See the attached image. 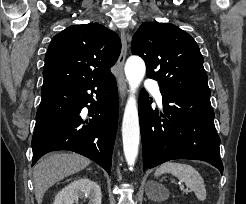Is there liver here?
Listing matches in <instances>:
<instances>
[{"mask_svg":"<svg viewBox=\"0 0 246 204\" xmlns=\"http://www.w3.org/2000/svg\"><path fill=\"white\" fill-rule=\"evenodd\" d=\"M91 161L76 153H54L34 167V191L38 204L42 203L45 192L64 177L79 172Z\"/></svg>","mask_w":246,"mask_h":204,"instance_id":"6515ba94","label":"liver"}]
</instances>
